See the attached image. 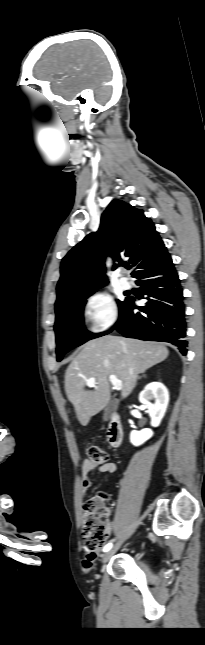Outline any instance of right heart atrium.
<instances>
[{"label":"right heart atrium","mask_w":205,"mask_h":645,"mask_svg":"<svg viewBox=\"0 0 205 645\" xmlns=\"http://www.w3.org/2000/svg\"><path fill=\"white\" fill-rule=\"evenodd\" d=\"M82 314L93 333H103L112 328L118 320V308L107 294L94 292L89 294L82 307Z\"/></svg>","instance_id":"obj_1"}]
</instances>
